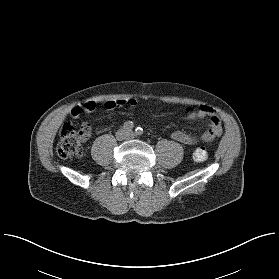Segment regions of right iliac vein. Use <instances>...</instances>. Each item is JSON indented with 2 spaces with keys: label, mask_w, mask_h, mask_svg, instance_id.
<instances>
[{
  "label": "right iliac vein",
  "mask_w": 279,
  "mask_h": 279,
  "mask_svg": "<svg viewBox=\"0 0 279 279\" xmlns=\"http://www.w3.org/2000/svg\"><path fill=\"white\" fill-rule=\"evenodd\" d=\"M124 132H125L124 129H120V130H119V134H120V135L124 134Z\"/></svg>",
  "instance_id": "63e3f726"
}]
</instances>
